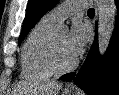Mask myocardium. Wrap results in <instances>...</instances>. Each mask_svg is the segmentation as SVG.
Wrapping results in <instances>:
<instances>
[{
    "mask_svg": "<svg viewBox=\"0 0 119 95\" xmlns=\"http://www.w3.org/2000/svg\"><path fill=\"white\" fill-rule=\"evenodd\" d=\"M47 60L51 70L54 73H66L73 70L77 66V60L75 59L68 65H61L57 59L56 54V43H55V35H52L48 44L47 49Z\"/></svg>",
    "mask_w": 119,
    "mask_h": 95,
    "instance_id": "myocardium-1",
    "label": "myocardium"
}]
</instances>
